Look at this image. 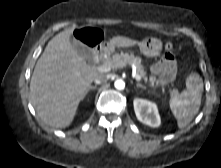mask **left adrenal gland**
<instances>
[{
    "mask_svg": "<svg viewBox=\"0 0 221 168\" xmlns=\"http://www.w3.org/2000/svg\"><path fill=\"white\" fill-rule=\"evenodd\" d=\"M136 87H137V88H139V87H140V88H142V89H146V87H145V86H143V85H142V84H140V83H138V84L136 85Z\"/></svg>",
    "mask_w": 221,
    "mask_h": 168,
    "instance_id": "a2214340",
    "label": "left adrenal gland"
}]
</instances>
